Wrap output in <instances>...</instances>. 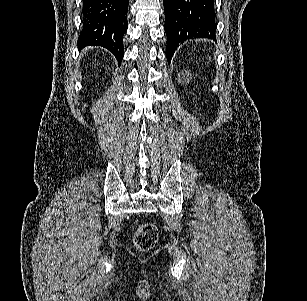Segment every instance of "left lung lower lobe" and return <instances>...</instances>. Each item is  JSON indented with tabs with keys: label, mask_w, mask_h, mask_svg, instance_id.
<instances>
[{
	"label": "left lung lower lobe",
	"mask_w": 307,
	"mask_h": 301,
	"mask_svg": "<svg viewBox=\"0 0 307 301\" xmlns=\"http://www.w3.org/2000/svg\"><path fill=\"white\" fill-rule=\"evenodd\" d=\"M164 11L168 63L186 39L210 38L216 41L214 0H164Z\"/></svg>",
	"instance_id": "left-lung-lower-lobe-1"
}]
</instances>
